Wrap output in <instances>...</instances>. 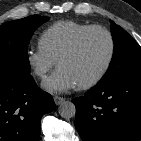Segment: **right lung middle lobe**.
I'll return each mask as SVG.
<instances>
[{
	"label": "right lung middle lobe",
	"mask_w": 141,
	"mask_h": 141,
	"mask_svg": "<svg viewBox=\"0 0 141 141\" xmlns=\"http://www.w3.org/2000/svg\"><path fill=\"white\" fill-rule=\"evenodd\" d=\"M48 20L31 15L0 26V77L30 74L28 44L34 31Z\"/></svg>",
	"instance_id": "1"
}]
</instances>
